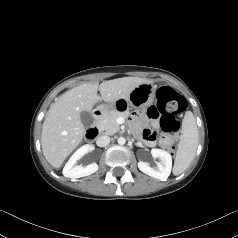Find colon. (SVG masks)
Here are the masks:
<instances>
[{
    "label": "colon",
    "instance_id": "5ec220e1",
    "mask_svg": "<svg viewBox=\"0 0 238 238\" xmlns=\"http://www.w3.org/2000/svg\"><path fill=\"white\" fill-rule=\"evenodd\" d=\"M157 106L161 111L159 118L163 136L160 145L173 153V136L179 130L180 124L176 116L186 109L185 98L169 86L160 87L156 94Z\"/></svg>",
    "mask_w": 238,
    "mask_h": 238
}]
</instances>
